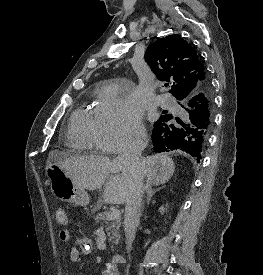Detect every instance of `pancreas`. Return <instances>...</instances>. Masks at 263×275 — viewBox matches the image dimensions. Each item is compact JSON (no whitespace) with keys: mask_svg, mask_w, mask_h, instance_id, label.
Returning a JSON list of instances; mask_svg holds the SVG:
<instances>
[{"mask_svg":"<svg viewBox=\"0 0 263 275\" xmlns=\"http://www.w3.org/2000/svg\"><path fill=\"white\" fill-rule=\"evenodd\" d=\"M96 210H97L96 208H93V212H95ZM108 213H109L108 211L98 213L94 217V219L97 223L103 221L104 223L107 224L106 233L109 236V241L113 244H118L120 239V225H121L120 220L116 219L109 222L107 220Z\"/></svg>","mask_w":263,"mask_h":275,"instance_id":"cf45deb5","label":"pancreas"}]
</instances>
